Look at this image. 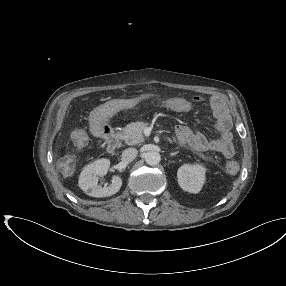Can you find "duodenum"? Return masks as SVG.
<instances>
[{
  "instance_id": "duodenum-1",
  "label": "duodenum",
  "mask_w": 286,
  "mask_h": 286,
  "mask_svg": "<svg viewBox=\"0 0 286 286\" xmlns=\"http://www.w3.org/2000/svg\"><path fill=\"white\" fill-rule=\"evenodd\" d=\"M98 126H99V132L101 136L110 135V132L103 120H101L98 123ZM118 146H119V138L116 136H111L107 141L108 150L111 152H115Z\"/></svg>"
}]
</instances>
